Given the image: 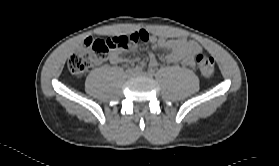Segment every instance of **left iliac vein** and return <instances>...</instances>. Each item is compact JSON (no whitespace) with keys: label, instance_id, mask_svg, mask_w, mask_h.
Returning a JSON list of instances; mask_svg holds the SVG:
<instances>
[{"label":"left iliac vein","instance_id":"4c4485c4","mask_svg":"<svg viewBox=\"0 0 279 166\" xmlns=\"http://www.w3.org/2000/svg\"><path fill=\"white\" fill-rule=\"evenodd\" d=\"M135 75L147 76L148 74L146 72H137Z\"/></svg>","mask_w":279,"mask_h":166}]
</instances>
